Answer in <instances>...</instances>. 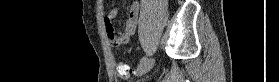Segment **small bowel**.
<instances>
[{
    "label": "small bowel",
    "mask_w": 279,
    "mask_h": 82,
    "mask_svg": "<svg viewBox=\"0 0 279 82\" xmlns=\"http://www.w3.org/2000/svg\"><path fill=\"white\" fill-rule=\"evenodd\" d=\"M119 10L117 8L111 9L105 16V29L112 47H120L128 43L135 32L140 13V4L134 1L129 9L128 17L121 32H116L113 27V20L117 17Z\"/></svg>",
    "instance_id": "small-bowel-1"
}]
</instances>
